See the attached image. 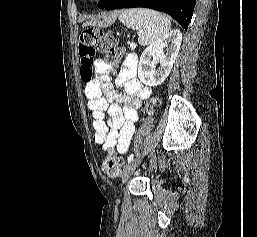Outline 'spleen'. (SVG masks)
<instances>
[{
    "instance_id": "spleen-1",
    "label": "spleen",
    "mask_w": 257,
    "mask_h": 237,
    "mask_svg": "<svg viewBox=\"0 0 257 237\" xmlns=\"http://www.w3.org/2000/svg\"><path fill=\"white\" fill-rule=\"evenodd\" d=\"M119 20L128 28L140 30L138 42L147 46L164 37L171 29V22L161 13L149 9H128Z\"/></svg>"
}]
</instances>
